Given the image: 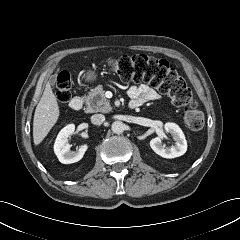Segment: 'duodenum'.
Masks as SVG:
<instances>
[{
    "label": "duodenum",
    "mask_w": 240,
    "mask_h": 240,
    "mask_svg": "<svg viewBox=\"0 0 240 240\" xmlns=\"http://www.w3.org/2000/svg\"><path fill=\"white\" fill-rule=\"evenodd\" d=\"M82 105H83V99L80 96H76V97L72 98V100L69 103V107L73 111L80 110ZM136 108H138L137 104L133 103V102H130L129 109L133 110V109H136Z\"/></svg>",
    "instance_id": "410a0bca"
}]
</instances>
